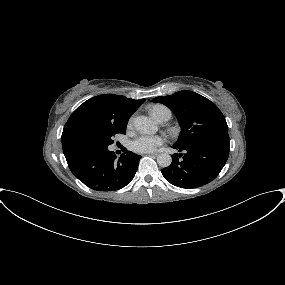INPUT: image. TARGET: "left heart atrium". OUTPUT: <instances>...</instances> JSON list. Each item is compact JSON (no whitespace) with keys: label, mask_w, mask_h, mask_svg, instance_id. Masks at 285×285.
I'll return each instance as SVG.
<instances>
[{"label":"left heart atrium","mask_w":285,"mask_h":285,"mask_svg":"<svg viewBox=\"0 0 285 285\" xmlns=\"http://www.w3.org/2000/svg\"><path fill=\"white\" fill-rule=\"evenodd\" d=\"M164 139L158 135L140 134L131 142V149L136 152L148 153L162 145Z\"/></svg>","instance_id":"left-heart-atrium-1"}]
</instances>
